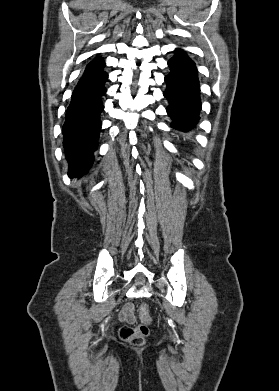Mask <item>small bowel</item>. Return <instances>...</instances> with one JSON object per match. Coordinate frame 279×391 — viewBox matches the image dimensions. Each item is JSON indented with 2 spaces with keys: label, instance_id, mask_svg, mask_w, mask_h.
Segmentation results:
<instances>
[{
  "label": "small bowel",
  "instance_id": "1",
  "mask_svg": "<svg viewBox=\"0 0 279 391\" xmlns=\"http://www.w3.org/2000/svg\"><path fill=\"white\" fill-rule=\"evenodd\" d=\"M119 319L122 322L133 324L136 322L134 306L131 303H126L119 313Z\"/></svg>",
  "mask_w": 279,
  "mask_h": 391
}]
</instances>
